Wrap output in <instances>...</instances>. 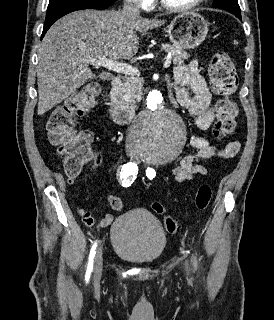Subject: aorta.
<instances>
[{
	"instance_id": "762f6f07",
	"label": "aorta",
	"mask_w": 274,
	"mask_h": 320,
	"mask_svg": "<svg viewBox=\"0 0 274 320\" xmlns=\"http://www.w3.org/2000/svg\"><path fill=\"white\" fill-rule=\"evenodd\" d=\"M135 150L152 162H168L178 157L185 144L186 129L180 116L165 102L162 93L152 90L147 107L135 119L131 131Z\"/></svg>"
}]
</instances>
